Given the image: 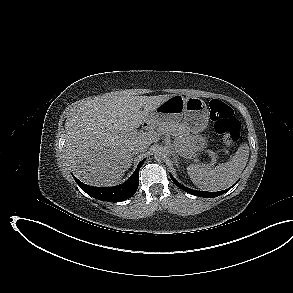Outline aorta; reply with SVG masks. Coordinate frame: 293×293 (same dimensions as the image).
<instances>
[{"label": "aorta", "instance_id": "aorta-1", "mask_svg": "<svg viewBox=\"0 0 293 293\" xmlns=\"http://www.w3.org/2000/svg\"><path fill=\"white\" fill-rule=\"evenodd\" d=\"M167 155L166 149L163 147H158L154 152V157L156 159H163Z\"/></svg>", "mask_w": 293, "mask_h": 293}]
</instances>
